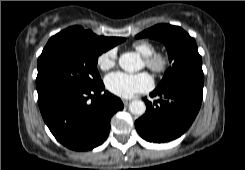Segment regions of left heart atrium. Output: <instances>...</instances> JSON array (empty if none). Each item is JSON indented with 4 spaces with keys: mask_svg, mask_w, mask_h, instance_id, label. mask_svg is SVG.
Wrapping results in <instances>:
<instances>
[{
    "mask_svg": "<svg viewBox=\"0 0 245 170\" xmlns=\"http://www.w3.org/2000/svg\"><path fill=\"white\" fill-rule=\"evenodd\" d=\"M106 88L113 94L129 98L152 89L153 80L147 73L113 72L105 77Z\"/></svg>",
    "mask_w": 245,
    "mask_h": 170,
    "instance_id": "left-heart-atrium-1",
    "label": "left heart atrium"
}]
</instances>
